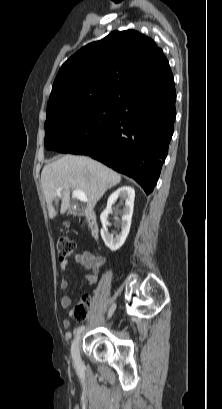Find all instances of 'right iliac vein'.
Here are the masks:
<instances>
[{
    "label": "right iliac vein",
    "mask_w": 222,
    "mask_h": 409,
    "mask_svg": "<svg viewBox=\"0 0 222 409\" xmlns=\"http://www.w3.org/2000/svg\"><path fill=\"white\" fill-rule=\"evenodd\" d=\"M115 309H116V304H113L111 306V308L109 309L108 317H110L113 314ZM80 340H81V335H78L74 339V341L72 343V346H71V354H72V358H73V360L75 362H78L79 358H80V348H79L80 347Z\"/></svg>",
    "instance_id": "right-iliac-vein-1"
}]
</instances>
